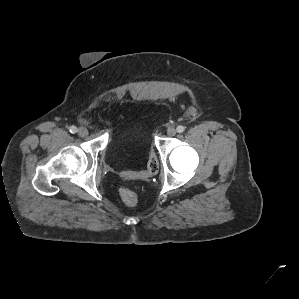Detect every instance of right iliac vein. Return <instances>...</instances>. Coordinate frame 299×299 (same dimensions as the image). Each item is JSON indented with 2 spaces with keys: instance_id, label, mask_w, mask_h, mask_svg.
Here are the masks:
<instances>
[{
  "instance_id": "63e3f726",
  "label": "right iliac vein",
  "mask_w": 299,
  "mask_h": 299,
  "mask_svg": "<svg viewBox=\"0 0 299 299\" xmlns=\"http://www.w3.org/2000/svg\"><path fill=\"white\" fill-rule=\"evenodd\" d=\"M77 132L81 137H85L88 135V130L85 127H80Z\"/></svg>"
}]
</instances>
